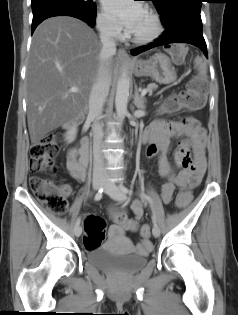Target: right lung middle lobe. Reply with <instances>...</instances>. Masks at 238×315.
<instances>
[{
    "mask_svg": "<svg viewBox=\"0 0 238 315\" xmlns=\"http://www.w3.org/2000/svg\"><path fill=\"white\" fill-rule=\"evenodd\" d=\"M34 1V0H32ZM75 4H78L80 6L86 7V8H95L96 4L93 2V0H66Z\"/></svg>",
    "mask_w": 238,
    "mask_h": 315,
    "instance_id": "dd1d6c3e",
    "label": "right lung middle lobe"
}]
</instances>
